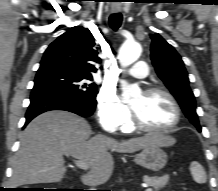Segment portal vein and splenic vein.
<instances>
[{
	"label": "portal vein and splenic vein",
	"instance_id": "obj_1",
	"mask_svg": "<svg viewBox=\"0 0 218 191\" xmlns=\"http://www.w3.org/2000/svg\"><path fill=\"white\" fill-rule=\"evenodd\" d=\"M75 165L80 168V169H83V170H88L89 168V165L88 163L84 162V161H81V160H75L74 161ZM144 187H146L145 191H152L151 188H148L147 185H143Z\"/></svg>",
	"mask_w": 218,
	"mask_h": 191
}]
</instances>
